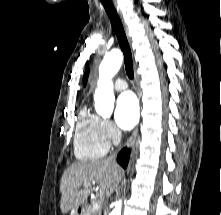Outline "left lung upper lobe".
<instances>
[{
  "label": "left lung upper lobe",
  "instance_id": "1",
  "mask_svg": "<svg viewBox=\"0 0 221 215\" xmlns=\"http://www.w3.org/2000/svg\"><path fill=\"white\" fill-rule=\"evenodd\" d=\"M89 69L86 70L84 77H83V84L86 85L87 79H88Z\"/></svg>",
  "mask_w": 221,
  "mask_h": 215
}]
</instances>
